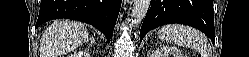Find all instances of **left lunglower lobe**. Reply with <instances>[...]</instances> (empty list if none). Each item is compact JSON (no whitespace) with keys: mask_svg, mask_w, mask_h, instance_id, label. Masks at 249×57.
Returning <instances> with one entry per match:
<instances>
[{"mask_svg":"<svg viewBox=\"0 0 249 57\" xmlns=\"http://www.w3.org/2000/svg\"><path fill=\"white\" fill-rule=\"evenodd\" d=\"M140 30V40L150 30L181 23L205 33L214 44L213 0H152Z\"/></svg>","mask_w":249,"mask_h":57,"instance_id":"left-lung-lower-lobe-1","label":"left lung lower lobe"}]
</instances>
